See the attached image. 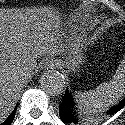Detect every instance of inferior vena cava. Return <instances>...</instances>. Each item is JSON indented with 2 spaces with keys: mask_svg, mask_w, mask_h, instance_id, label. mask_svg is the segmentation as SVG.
<instances>
[{
  "mask_svg": "<svg viewBox=\"0 0 125 125\" xmlns=\"http://www.w3.org/2000/svg\"><path fill=\"white\" fill-rule=\"evenodd\" d=\"M30 65V64H29ZM28 69H31L30 67L29 68H21L20 70H18L19 72V75H20V79L24 82V79H26V77L28 76L27 71H29Z\"/></svg>",
  "mask_w": 125,
  "mask_h": 125,
  "instance_id": "obj_1",
  "label": "inferior vena cava"
}]
</instances>
